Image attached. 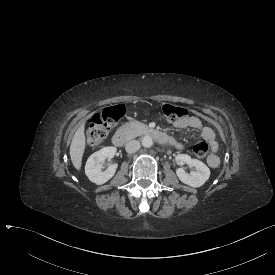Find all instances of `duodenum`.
<instances>
[{
	"mask_svg": "<svg viewBox=\"0 0 275 275\" xmlns=\"http://www.w3.org/2000/svg\"><path fill=\"white\" fill-rule=\"evenodd\" d=\"M147 133L153 136L158 142L160 143H172V139L164 132L156 130V129H149ZM128 141V136L124 131H117L112 136V143L116 147L123 146Z\"/></svg>",
	"mask_w": 275,
	"mask_h": 275,
	"instance_id": "duodenum-1",
	"label": "duodenum"
}]
</instances>
